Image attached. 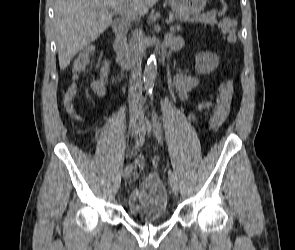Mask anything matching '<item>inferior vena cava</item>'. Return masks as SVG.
I'll return each instance as SVG.
<instances>
[{"label":"inferior vena cava","instance_id":"obj_1","mask_svg":"<svg viewBox=\"0 0 295 250\" xmlns=\"http://www.w3.org/2000/svg\"><path fill=\"white\" fill-rule=\"evenodd\" d=\"M143 34L136 29L132 32L130 53L133 71L129 84V109L131 116H142V86H141V61L144 52Z\"/></svg>","mask_w":295,"mask_h":250}]
</instances>
